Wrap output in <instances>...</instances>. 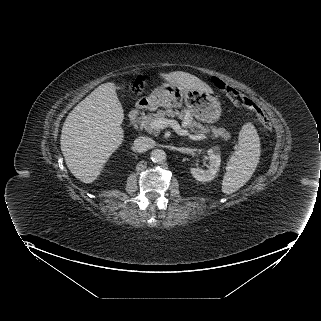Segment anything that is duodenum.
Segmentation results:
<instances>
[{
    "label": "duodenum",
    "instance_id": "duodenum-1",
    "mask_svg": "<svg viewBox=\"0 0 321 321\" xmlns=\"http://www.w3.org/2000/svg\"><path fill=\"white\" fill-rule=\"evenodd\" d=\"M150 105L149 100L141 99L137 102L135 108L130 113V122L135 123L140 115V113L147 109Z\"/></svg>",
    "mask_w": 321,
    "mask_h": 321
}]
</instances>
